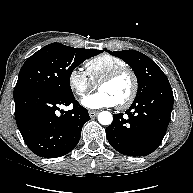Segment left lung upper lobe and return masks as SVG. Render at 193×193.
Returning a JSON list of instances; mask_svg holds the SVG:
<instances>
[{
  "mask_svg": "<svg viewBox=\"0 0 193 193\" xmlns=\"http://www.w3.org/2000/svg\"><path fill=\"white\" fill-rule=\"evenodd\" d=\"M111 55L121 58L132 67L138 81V91L135 99L142 97L153 87L164 80L166 75L149 57L138 51H108Z\"/></svg>",
  "mask_w": 193,
  "mask_h": 193,
  "instance_id": "left-lung-upper-lobe-1",
  "label": "left lung upper lobe"
}]
</instances>
